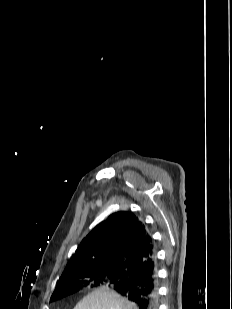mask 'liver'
Masks as SVG:
<instances>
[{
	"mask_svg": "<svg viewBox=\"0 0 232 309\" xmlns=\"http://www.w3.org/2000/svg\"><path fill=\"white\" fill-rule=\"evenodd\" d=\"M74 309H139L134 303L109 288H100L85 296Z\"/></svg>",
	"mask_w": 232,
	"mask_h": 309,
	"instance_id": "6515ba94",
	"label": "liver"
}]
</instances>
